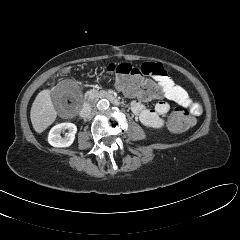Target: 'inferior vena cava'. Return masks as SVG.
<instances>
[{"label": "inferior vena cava", "instance_id": "inferior-vena-cava-1", "mask_svg": "<svg viewBox=\"0 0 240 240\" xmlns=\"http://www.w3.org/2000/svg\"><path fill=\"white\" fill-rule=\"evenodd\" d=\"M94 114L95 112L92 111L89 107L82 111V116L87 119H91Z\"/></svg>", "mask_w": 240, "mask_h": 240}]
</instances>
